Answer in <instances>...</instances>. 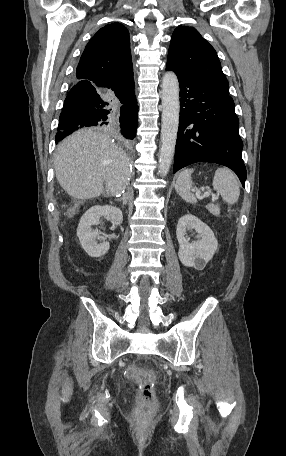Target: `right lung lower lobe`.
I'll list each match as a JSON object with an SVG mask.
<instances>
[{
    "label": "right lung lower lobe",
    "instance_id": "obj_1",
    "mask_svg": "<svg viewBox=\"0 0 286 456\" xmlns=\"http://www.w3.org/2000/svg\"><path fill=\"white\" fill-rule=\"evenodd\" d=\"M137 125L133 77L108 83L76 77L59 117L55 141L82 127L98 126L113 130L126 144H131Z\"/></svg>",
    "mask_w": 286,
    "mask_h": 456
}]
</instances>
